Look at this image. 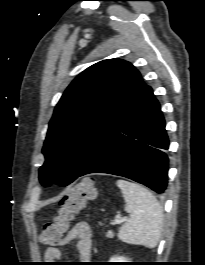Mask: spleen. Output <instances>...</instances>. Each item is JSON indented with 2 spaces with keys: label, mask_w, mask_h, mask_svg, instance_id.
Segmentation results:
<instances>
[{
  "label": "spleen",
  "mask_w": 205,
  "mask_h": 265,
  "mask_svg": "<svg viewBox=\"0 0 205 265\" xmlns=\"http://www.w3.org/2000/svg\"><path fill=\"white\" fill-rule=\"evenodd\" d=\"M117 186L126 202L125 211L130 214L129 219L120 228L118 238L129 244L156 247L163 228L160 203L147 188L139 184L118 180Z\"/></svg>",
  "instance_id": "1"
}]
</instances>
